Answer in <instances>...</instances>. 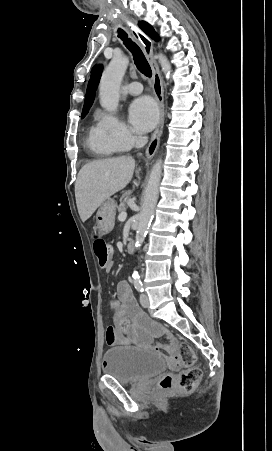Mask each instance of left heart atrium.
I'll return each instance as SVG.
<instances>
[{
  "label": "left heart atrium",
  "instance_id": "left-heart-atrium-1",
  "mask_svg": "<svg viewBox=\"0 0 272 451\" xmlns=\"http://www.w3.org/2000/svg\"><path fill=\"white\" fill-rule=\"evenodd\" d=\"M157 110L155 103L148 97L135 101L130 108V122L133 128L139 132L149 130L156 121Z\"/></svg>",
  "mask_w": 272,
  "mask_h": 451
}]
</instances>
